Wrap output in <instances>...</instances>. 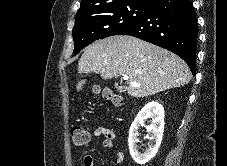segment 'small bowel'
Returning a JSON list of instances; mask_svg holds the SVG:
<instances>
[{"label":"small bowel","instance_id":"c3829d8e","mask_svg":"<svg viewBox=\"0 0 227 166\" xmlns=\"http://www.w3.org/2000/svg\"><path fill=\"white\" fill-rule=\"evenodd\" d=\"M93 134L96 137L103 138V147L113 151L116 163H122L125 160V153L116 149L113 141L116 138V132L106 126H97L93 129ZM84 166H96V160L91 155H85L83 158Z\"/></svg>","mask_w":227,"mask_h":166}]
</instances>
